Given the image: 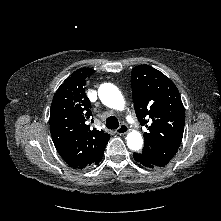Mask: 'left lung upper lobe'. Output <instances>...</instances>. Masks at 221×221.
<instances>
[{"mask_svg":"<svg viewBox=\"0 0 221 221\" xmlns=\"http://www.w3.org/2000/svg\"><path fill=\"white\" fill-rule=\"evenodd\" d=\"M132 98L141 126H146L141 154L164 167L183 137L185 109L175 84L160 71L139 65L131 73Z\"/></svg>","mask_w":221,"mask_h":221,"instance_id":"1","label":"left lung upper lobe"}]
</instances>
